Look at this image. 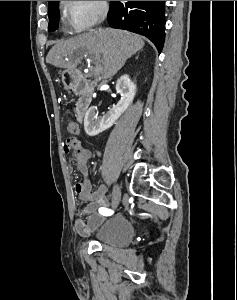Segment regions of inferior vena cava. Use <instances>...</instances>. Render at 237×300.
Returning a JSON list of instances; mask_svg holds the SVG:
<instances>
[{
  "mask_svg": "<svg viewBox=\"0 0 237 300\" xmlns=\"http://www.w3.org/2000/svg\"><path fill=\"white\" fill-rule=\"evenodd\" d=\"M107 11H108V7L102 9L101 21H104V19H106Z\"/></svg>",
  "mask_w": 237,
  "mask_h": 300,
  "instance_id": "inferior-vena-cava-1",
  "label": "inferior vena cava"
}]
</instances>
